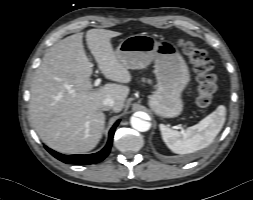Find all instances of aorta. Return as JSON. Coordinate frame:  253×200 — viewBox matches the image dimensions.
<instances>
[{
    "instance_id": "obj_1",
    "label": "aorta",
    "mask_w": 253,
    "mask_h": 200,
    "mask_svg": "<svg viewBox=\"0 0 253 200\" xmlns=\"http://www.w3.org/2000/svg\"><path fill=\"white\" fill-rule=\"evenodd\" d=\"M131 126L140 132H146L150 129V123L148 121H145L143 119L132 117L131 118Z\"/></svg>"
}]
</instances>
